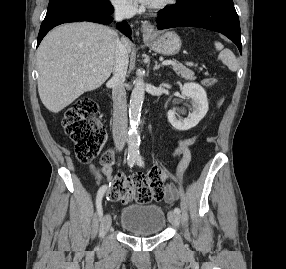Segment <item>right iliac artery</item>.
I'll use <instances>...</instances> for the list:
<instances>
[{
    "mask_svg": "<svg viewBox=\"0 0 286 269\" xmlns=\"http://www.w3.org/2000/svg\"><path fill=\"white\" fill-rule=\"evenodd\" d=\"M134 163H135V159L128 157V165L130 167H132L134 165ZM106 190H107V185L101 186L100 189L98 190L97 197H96V207H97V211H98L100 218L103 215L102 204H101L102 197H103Z\"/></svg>",
    "mask_w": 286,
    "mask_h": 269,
    "instance_id": "obj_1",
    "label": "right iliac artery"
}]
</instances>
